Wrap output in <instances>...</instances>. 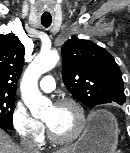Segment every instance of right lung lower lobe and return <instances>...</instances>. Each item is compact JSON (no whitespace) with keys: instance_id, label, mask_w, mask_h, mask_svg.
I'll return each instance as SVG.
<instances>
[{"instance_id":"obj_1","label":"right lung lower lobe","mask_w":130,"mask_h":153,"mask_svg":"<svg viewBox=\"0 0 130 153\" xmlns=\"http://www.w3.org/2000/svg\"><path fill=\"white\" fill-rule=\"evenodd\" d=\"M0 128H2L3 130L7 131L9 130L7 127H5L3 124H0Z\"/></svg>"}]
</instances>
